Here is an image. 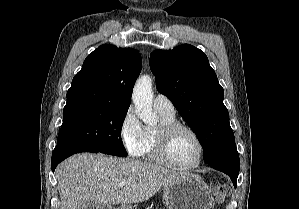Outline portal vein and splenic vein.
Here are the masks:
<instances>
[{
	"label": "portal vein and splenic vein",
	"mask_w": 299,
	"mask_h": 209,
	"mask_svg": "<svg viewBox=\"0 0 299 209\" xmlns=\"http://www.w3.org/2000/svg\"><path fill=\"white\" fill-rule=\"evenodd\" d=\"M125 185H127L126 182H121V183H120V186H125Z\"/></svg>",
	"instance_id": "portal-vein-and-splenic-vein-1"
}]
</instances>
